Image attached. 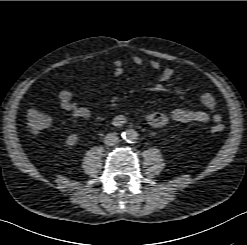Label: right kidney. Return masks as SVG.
I'll use <instances>...</instances> for the list:
<instances>
[{
  "label": "right kidney",
  "instance_id": "1",
  "mask_svg": "<svg viewBox=\"0 0 247 245\" xmlns=\"http://www.w3.org/2000/svg\"><path fill=\"white\" fill-rule=\"evenodd\" d=\"M78 141V135L77 134H71L66 139V145L67 146H74Z\"/></svg>",
  "mask_w": 247,
  "mask_h": 245
}]
</instances>
